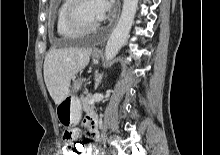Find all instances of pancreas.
<instances>
[{"label": "pancreas", "instance_id": "cf45deb5", "mask_svg": "<svg viewBox=\"0 0 220 155\" xmlns=\"http://www.w3.org/2000/svg\"><path fill=\"white\" fill-rule=\"evenodd\" d=\"M91 100V96L87 95V96H82L81 97V105H82V109L85 112H89L91 110L94 109V105L93 104H89V101Z\"/></svg>", "mask_w": 220, "mask_h": 155}]
</instances>
